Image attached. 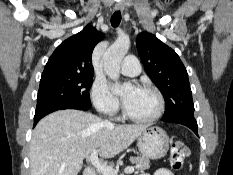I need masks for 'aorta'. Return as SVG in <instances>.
<instances>
[{
  "mask_svg": "<svg viewBox=\"0 0 233 175\" xmlns=\"http://www.w3.org/2000/svg\"><path fill=\"white\" fill-rule=\"evenodd\" d=\"M130 42L128 40H117L103 55L104 71L112 80H118L120 76L121 61L128 52ZM131 88L130 83H125L120 90L124 91Z\"/></svg>",
  "mask_w": 233,
  "mask_h": 175,
  "instance_id": "obj_1",
  "label": "aorta"
}]
</instances>
